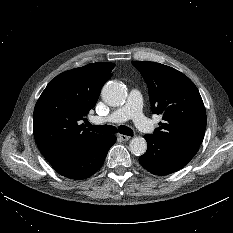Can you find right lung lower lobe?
Listing matches in <instances>:
<instances>
[{
	"label": "right lung lower lobe",
	"mask_w": 233,
	"mask_h": 233,
	"mask_svg": "<svg viewBox=\"0 0 233 233\" xmlns=\"http://www.w3.org/2000/svg\"><path fill=\"white\" fill-rule=\"evenodd\" d=\"M115 142V135H104L75 155L51 165L60 175L67 178L76 180L88 178L100 169L108 150Z\"/></svg>",
	"instance_id": "obj_1"
}]
</instances>
